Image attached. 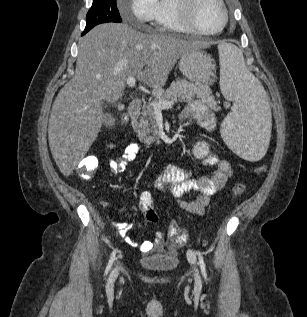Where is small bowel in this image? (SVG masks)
I'll return each mask as SVG.
<instances>
[{
    "label": "small bowel",
    "mask_w": 307,
    "mask_h": 317,
    "mask_svg": "<svg viewBox=\"0 0 307 317\" xmlns=\"http://www.w3.org/2000/svg\"><path fill=\"white\" fill-rule=\"evenodd\" d=\"M181 118L195 119L201 126L214 129L215 116L201 101L190 103L183 111ZM141 147L138 143H131L123 150L118 157L111 159L108 163L111 172L118 174L125 171L129 162L133 161ZM204 165L213 167L214 171L210 176L193 177L188 169L167 166L156 180V186L168 191L177 199L179 207L191 214L203 215L209 205L211 197L220 191L233 174V168L228 161L220 160L215 155H209ZM195 192L196 197L192 200L184 199L188 194ZM119 229L121 236L131 228L129 223L113 222ZM130 244L132 241L127 240ZM163 244V235L156 233L154 241H145L139 245L143 253L151 251L154 247L160 248Z\"/></svg>",
    "instance_id": "c3829d8e"
}]
</instances>
